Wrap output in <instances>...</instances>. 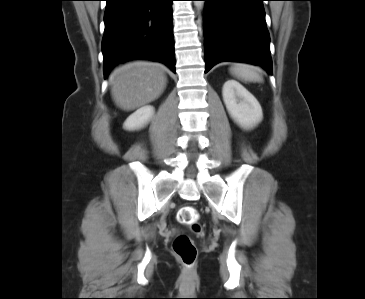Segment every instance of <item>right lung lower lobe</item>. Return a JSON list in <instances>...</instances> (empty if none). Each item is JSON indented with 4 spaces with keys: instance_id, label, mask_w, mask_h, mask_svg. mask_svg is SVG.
Returning a JSON list of instances; mask_svg holds the SVG:
<instances>
[{
    "instance_id": "1",
    "label": "right lung lower lobe",
    "mask_w": 365,
    "mask_h": 299,
    "mask_svg": "<svg viewBox=\"0 0 365 299\" xmlns=\"http://www.w3.org/2000/svg\"><path fill=\"white\" fill-rule=\"evenodd\" d=\"M104 77L119 63L148 59L174 73L173 0H106Z\"/></svg>"
}]
</instances>
